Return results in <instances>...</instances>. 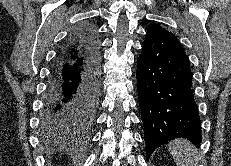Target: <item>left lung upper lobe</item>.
Segmentation results:
<instances>
[{
	"instance_id": "obj_1",
	"label": "left lung upper lobe",
	"mask_w": 231,
	"mask_h": 166,
	"mask_svg": "<svg viewBox=\"0 0 231 166\" xmlns=\"http://www.w3.org/2000/svg\"><path fill=\"white\" fill-rule=\"evenodd\" d=\"M151 26H157V27H160V28H162L160 25H158V24H156V25H151ZM162 29H164V28H162ZM164 30H166V29H164Z\"/></svg>"
}]
</instances>
